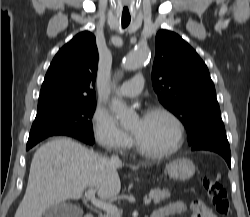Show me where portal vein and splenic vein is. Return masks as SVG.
Here are the masks:
<instances>
[{
	"label": "portal vein and splenic vein",
	"mask_w": 250,
	"mask_h": 217,
	"mask_svg": "<svg viewBox=\"0 0 250 217\" xmlns=\"http://www.w3.org/2000/svg\"><path fill=\"white\" fill-rule=\"evenodd\" d=\"M95 193H96V190L91 187L89 188L88 191L85 192V197L97 208H100V209H103L105 210L106 212H109V213H118V208L117 206L113 205V204H110V203H106L102 200H99L95 197ZM151 203V198H145L144 199V204L145 205H148Z\"/></svg>",
	"instance_id": "portal-vein-and-splenic-vein-1"
}]
</instances>
